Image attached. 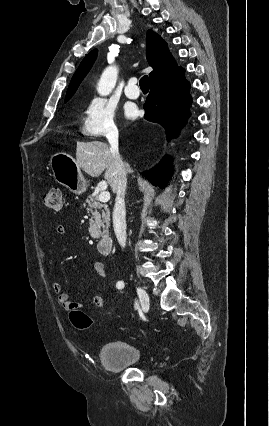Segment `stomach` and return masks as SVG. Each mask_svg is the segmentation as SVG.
<instances>
[{
  "label": "stomach",
  "mask_w": 269,
  "mask_h": 426,
  "mask_svg": "<svg viewBox=\"0 0 269 426\" xmlns=\"http://www.w3.org/2000/svg\"><path fill=\"white\" fill-rule=\"evenodd\" d=\"M56 182L80 195L87 189V183L75 159L65 152L54 153L49 162Z\"/></svg>",
  "instance_id": "0dacf381"
}]
</instances>
